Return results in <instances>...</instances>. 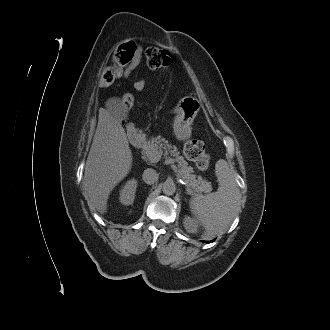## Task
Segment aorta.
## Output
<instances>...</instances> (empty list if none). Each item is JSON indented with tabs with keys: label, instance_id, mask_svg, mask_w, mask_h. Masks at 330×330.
I'll use <instances>...</instances> for the list:
<instances>
[{
	"label": "aorta",
	"instance_id": "aorta-1",
	"mask_svg": "<svg viewBox=\"0 0 330 330\" xmlns=\"http://www.w3.org/2000/svg\"><path fill=\"white\" fill-rule=\"evenodd\" d=\"M162 191L166 195H173L176 191V186H175L174 182L170 181V180H166L162 184Z\"/></svg>",
	"mask_w": 330,
	"mask_h": 330
}]
</instances>
